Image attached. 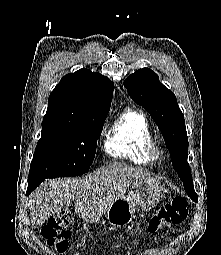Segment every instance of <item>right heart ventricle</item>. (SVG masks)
Masks as SVG:
<instances>
[{
    "instance_id": "obj_1",
    "label": "right heart ventricle",
    "mask_w": 221,
    "mask_h": 255,
    "mask_svg": "<svg viewBox=\"0 0 221 255\" xmlns=\"http://www.w3.org/2000/svg\"><path fill=\"white\" fill-rule=\"evenodd\" d=\"M153 142V132L146 115L128 108L111 124L105 137L104 151L116 159L147 165L152 162L149 148Z\"/></svg>"
}]
</instances>
